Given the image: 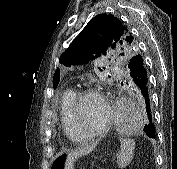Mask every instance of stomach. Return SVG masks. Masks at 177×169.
I'll list each match as a JSON object with an SVG mask.
<instances>
[{
  "label": "stomach",
  "instance_id": "1",
  "mask_svg": "<svg viewBox=\"0 0 177 169\" xmlns=\"http://www.w3.org/2000/svg\"><path fill=\"white\" fill-rule=\"evenodd\" d=\"M50 169H67L66 156L64 154H58L51 162Z\"/></svg>",
  "mask_w": 177,
  "mask_h": 169
}]
</instances>
